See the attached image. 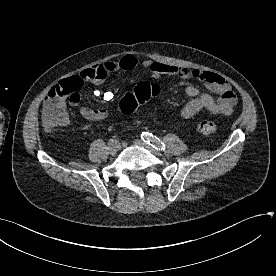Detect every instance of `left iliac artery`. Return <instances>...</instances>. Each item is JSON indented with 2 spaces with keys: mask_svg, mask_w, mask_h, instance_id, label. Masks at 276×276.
<instances>
[{
  "mask_svg": "<svg viewBox=\"0 0 276 276\" xmlns=\"http://www.w3.org/2000/svg\"><path fill=\"white\" fill-rule=\"evenodd\" d=\"M141 139L144 142L150 144L152 147H154L157 150H161V151L165 150L164 143L159 138H157L156 136H153L151 133L143 132L141 134Z\"/></svg>",
  "mask_w": 276,
  "mask_h": 276,
  "instance_id": "1",
  "label": "left iliac artery"
}]
</instances>
